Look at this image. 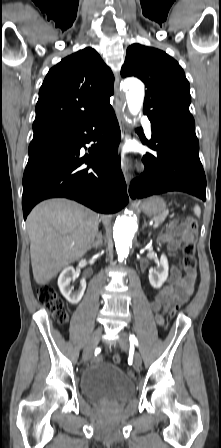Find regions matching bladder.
<instances>
[{"mask_svg":"<svg viewBox=\"0 0 221 448\" xmlns=\"http://www.w3.org/2000/svg\"><path fill=\"white\" fill-rule=\"evenodd\" d=\"M79 385L86 399L98 403L121 404L135 392L133 380L121 368L104 362L85 371Z\"/></svg>","mask_w":221,"mask_h":448,"instance_id":"bladder-1","label":"bladder"}]
</instances>
